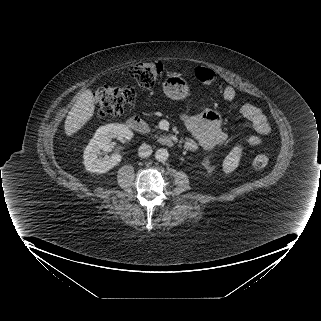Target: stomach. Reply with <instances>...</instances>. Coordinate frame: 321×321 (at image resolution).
<instances>
[{
  "label": "stomach",
  "instance_id": "obj_1",
  "mask_svg": "<svg viewBox=\"0 0 321 321\" xmlns=\"http://www.w3.org/2000/svg\"><path fill=\"white\" fill-rule=\"evenodd\" d=\"M163 92L172 100H182L189 95V87L184 78L180 74H169L164 80Z\"/></svg>",
  "mask_w": 321,
  "mask_h": 321
}]
</instances>
